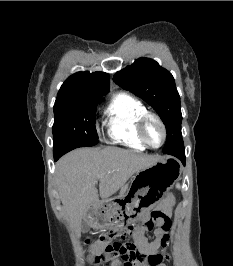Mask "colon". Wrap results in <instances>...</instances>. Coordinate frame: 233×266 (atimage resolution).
Returning a JSON list of instances; mask_svg holds the SVG:
<instances>
[{"label":"colon","mask_w":233,"mask_h":266,"mask_svg":"<svg viewBox=\"0 0 233 266\" xmlns=\"http://www.w3.org/2000/svg\"><path fill=\"white\" fill-rule=\"evenodd\" d=\"M159 222L162 228L166 229L170 226V218L162 211H153L149 218L144 222L143 229L146 231H151L154 229L155 224ZM128 231L122 228V232H114L111 230L105 234L100 235L97 241L106 243L104 256L106 258H120L125 266H136L140 265L146 260L150 265L156 263L158 259L156 257H146L145 255L139 253L135 247V244L131 241H124L126 236H131L135 228H130L127 225ZM116 238V241L109 242L110 239Z\"/></svg>","instance_id":"obj_1"}]
</instances>
